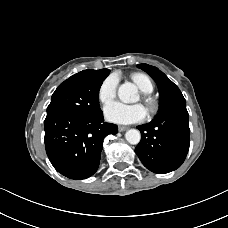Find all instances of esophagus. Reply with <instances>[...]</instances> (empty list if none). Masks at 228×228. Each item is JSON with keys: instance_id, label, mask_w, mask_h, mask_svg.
Wrapping results in <instances>:
<instances>
[{"instance_id": "34e87169", "label": "esophagus", "mask_w": 228, "mask_h": 228, "mask_svg": "<svg viewBox=\"0 0 228 228\" xmlns=\"http://www.w3.org/2000/svg\"><path fill=\"white\" fill-rule=\"evenodd\" d=\"M127 129H128V127H126V126H118L119 132H124V131H126Z\"/></svg>"}]
</instances>
